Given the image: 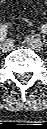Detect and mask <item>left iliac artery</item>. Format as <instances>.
Segmentation results:
<instances>
[{
	"label": "left iliac artery",
	"instance_id": "44dca946",
	"mask_svg": "<svg viewBox=\"0 0 47 129\" xmlns=\"http://www.w3.org/2000/svg\"><path fill=\"white\" fill-rule=\"evenodd\" d=\"M42 33H46V27L42 28Z\"/></svg>",
	"mask_w": 47,
	"mask_h": 129
}]
</instances>
